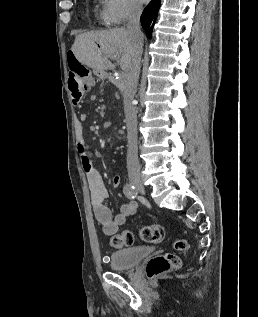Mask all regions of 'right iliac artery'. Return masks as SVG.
Listing matches in <instances>:
<instances>
[{"label": "right iliac artery", "mask_w": 258, "mask_h": 317, "mask_svg": "<svg viewBox=\"0 0 258 317\" xmlns=\"http://www.w3.org/2000/svg\"><path fill=\"white\" fill-rule=\"evenodd\" d=\"M123 191H124L125 196L129 199H136L138 196V193H137L135 187L128 184V183H126L124 185Z\"/></svg>", "instance_id": "82829eb1"}]
</instances>
